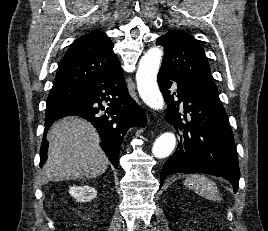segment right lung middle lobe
Listing matches in <instances>:
<instances>
[{"label": "right lung middle lobe", "mask_w": 268, "mask_h": 231, "mask_svg": "<svg viewBox=\"0 0 268 231\" xmlns=\"http://www.w3.org/2000/svg\"><path fill=\"white\" fill-rule=\"evenodd\" d=\"M82 94V88L60 87L52 88L47 98V106L58 105L63 102L78 98Z\"/></svg>", "instance_id": "1"}]
</instances>
